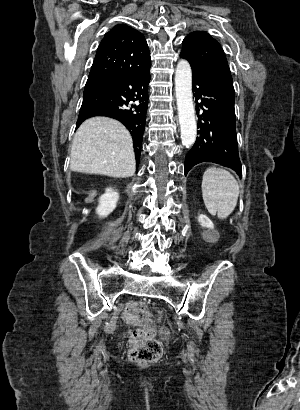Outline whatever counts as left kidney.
I'll list each match as a JSON object with an SVG mask.
<instances>
[{
    "mask_svg": "<svg viewBox=\"0 0 300 410\" xmlns=\"http://www.w3.org/2000/svg\"><path fill=\"white\" fill-rule=\"evenodd\" d=\"M200 225L204 228L214 229L213 222L204 214H200L198 217Z\"/></svg>",
    "mask_w": 300,
    "mask_h": 410,
    "instance_id": "5707ae66",
    "label": "left kidney"
}]
</instances>
